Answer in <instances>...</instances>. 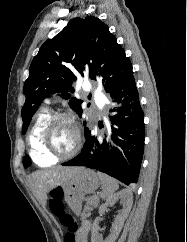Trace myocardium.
<instances>
[{"label": "myocardium", "mask_w": 187, "mask_h": 242, "mask_svg": "<svg viewBox=\"0 0 187 242\" xmlns=\"http://www.w3.org/2000/svg\"><path fill=\"white\" fill-rule=\"evenodd\" d=\"M61 121L71 124L72 127L74 128L75 135H76L75 145L67 153H56V152L52 151L49 146L50 133H51L53 127L58 122H61ZM40 144H41V148L46 156L57 159V160H65V159H69V158L75 156L80 151L82 144H83V138H82L81 130H80L76 120L74 119V117L67 113H58V114L52 115L48 119L47 123L45 124V126L42 130V133H41Z\"/></svg>", "instance_id": "f54148a6"}]
</instances>
